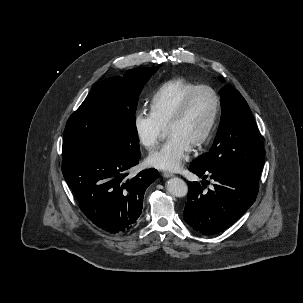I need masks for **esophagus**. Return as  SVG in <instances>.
Masks as SVG:
<instances>
[{
  "label": "esophagus",
  "instance_id": "esophagus-1",
  "mask_svg": "<svg viewBox=\"0 0 303 303\" xmlns=\"http://www.w3.org/2000/svg\"><path fill=\"white\" fill-rule=\"evenodd\" d=\"M162 175H163L164 178L174 177V174L169 173V172H164Z\"/></svg>",
  "mask_w": 303,
  "mask_h": 303
}]
</instances>
